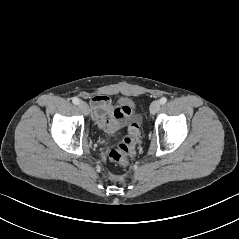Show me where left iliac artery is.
Here are the masks:
<instances>
[{
	"instance_id": "left-iliac-artery-1",
	"label": "left iliac artery",
	"mask_w": 239,
	"mask_h": 239,
	"mask_svg": "<svg viewBox=\"0 0 239 239\" xmlns=\"http://www.w3.org/2000/svg\"><path fill=\"white\" fill-rule=\"evenodd\" d=\"M167 102V98L166 97H162L161 99H160V103L161 104H165Z\"/></svg>"
}]
</instances>
